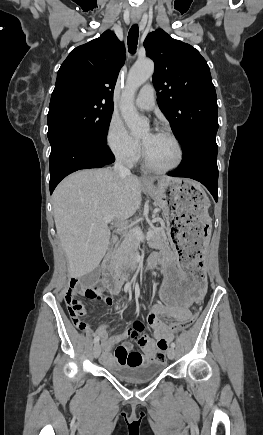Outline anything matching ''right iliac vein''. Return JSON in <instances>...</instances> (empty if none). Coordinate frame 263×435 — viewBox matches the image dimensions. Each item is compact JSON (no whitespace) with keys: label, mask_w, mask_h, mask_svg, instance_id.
<instances>
[{"label":"right iliac vein","mask_w":263,"mask_h":435,"mask_svg":"<svg viewBox=\"0 0 263 435\" xmlns=\"http://www.w3.org/2000/svg\"><path fill=\"white\" fill-rule=\"evenodd\" d=\"M101 352V347L99 345V343H96L93 347V355L95 358H98Z\"/></svg>","instance_id":"63e3f726"}]
</instances>
